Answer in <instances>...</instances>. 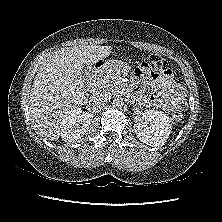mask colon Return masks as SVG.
<instances>
[{"instance_id": "1", "label": "colon", "mask_w": 222, "mask_h": 222, "mask_svg": "<svg viewBox=\"0 0 222 222\" xmlns=\"http://www.w3.org/2000/svg\"><path fill=\"white\" fill-rule=\"evenodd\" d=\"M168 68L165 65L164 60L158 54H152L147 62L142 63L137 69L138 74H144L147 72H165ZM174 123L180 122L182 115L180 112H175L171 116Z\"/></svg>"}]
</instances>
